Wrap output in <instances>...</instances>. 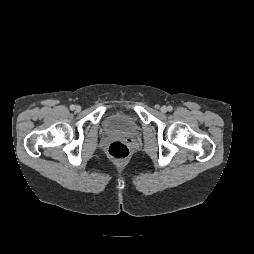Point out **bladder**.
<instances>
[{"label": "bladder", "instance_id": "31cf9c89", "mask_svg": "<svg viewBox=\"0 0 254 254\" xmlns=\"http://www.w3.org/2000/svg\"><path fill=\"white\" fill-rule=\"evenodd\" d=\"M104 131L109 135L135 137L140 132L137 117L131 113L115 112L106 116L103 122Z\"/></svg>", "mask_w": 254, "mask_h": 254}]
</instances>
